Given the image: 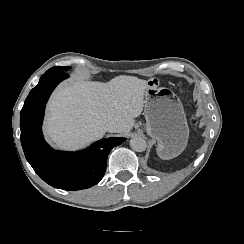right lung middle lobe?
<instances>
[{"instance_id":"dd1d6c3e","label":"right lung middle lobe","mask_w":244,"mask_h":244,"mask_svg":"<svg viewBox=\"0 0 244 244\" xmlns=\"http://www.w3.org/2000/svg\"><path fill=\"white\" fill-rule=\"evenodd\" d=\"M69 69V67H52V68H50L48 71H52V70H58V71H66V70H68Z\"/></svg>"}]
</instances>
